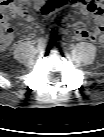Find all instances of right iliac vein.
Instances as JSON below:
<instances>
[{"label":"right iliac vein","instance_id":"1","mask_svg":"<svg viewBox=\"0 0 104 137\" xmlns=\"http://www.w3.org/2000/svg\"><path fill=\"white\" fill-rule=\"evenodd\" d=\"M45 47V41L44 40H41L37 46V49L38 50H43Z\"/></svg>","mask_w":104,"mask_h":137}]
</instances>
